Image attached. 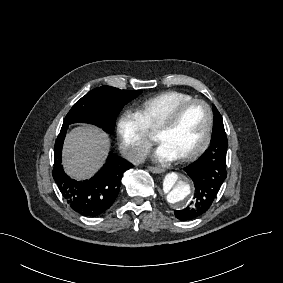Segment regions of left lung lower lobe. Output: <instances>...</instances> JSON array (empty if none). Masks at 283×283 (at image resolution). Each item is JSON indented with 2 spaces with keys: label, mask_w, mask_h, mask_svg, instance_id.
<instances>
[{
  "label": "left lung lower lobe",
  "mask_w": 283,
  "mask_h": 283,
  "mask_svg": "<svg viewBox=\"0 0 283 283\" xmlns=\"http://www.w3.org/2000/svg\"><path fill=\"white\" fill-rule=\"evenodd\" d=\"M227 137L222 119L214 118L209 148L184 171L192 179L195 193L191 204L183 210L174 211L180 220H190L204 214L213 204L226 179Z\"/></svg>",
  "instance_id": "0a47b994"
}]
</instances>
